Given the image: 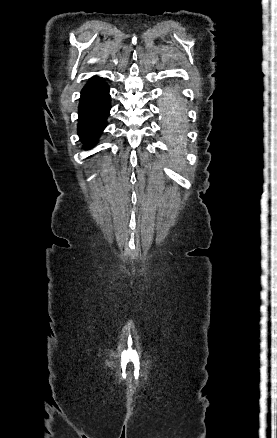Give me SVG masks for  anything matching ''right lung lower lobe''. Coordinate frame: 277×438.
<instances>
[{
  "mask_svg": "<svg viewBox=\"0 0 277 438\" xmlns=\"http://www.w3.org/2000/svg\"><path fill=\"white\" fill-rule=\"evenodd\" d=\"M109 87L100 77H92L82 89L79 105L78 133L90 148L97 142L107 124L110 110Z\"/></svg>",
  "mask_w": 277,
  "mask_h": 438,
  "instance_id": "1",
  "label": "right lung lower lobe"
}]
</instances>
